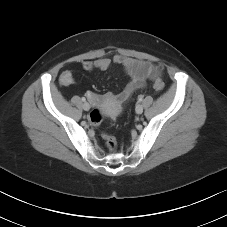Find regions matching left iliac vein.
Returning a JSON list of instances; mask_svg holds the SVG:
<instances>
[{
	"label": "left iliac vein",
	"mask_w": 227,
	"mask_h": 227,
	"mask_svg": "<svg viewBox=\"0 0 227 227\" xmlns=\"http://www.w3.org/2000/svg\"><path fill=\"white\" fill-rule=\"evenodd\" d=\"M135 111L137 114H141L143 112V106L141 104H137Z\"/></svg>",
	"instance_id": "obj_1"
}]
</instances>
